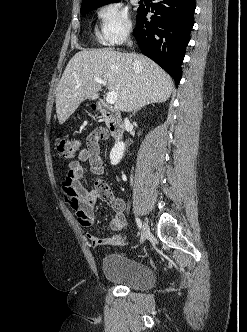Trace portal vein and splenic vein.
Here are the masks:
<instances>
[{"instance_id": "portal-vein-and-splenic-vein-1", "label": "portal vein and splenic vein", "mask_w": 247, "mask_h": 332, "mask_svg": "<svg viewBox=\"0 0 247 332\" xmlns=\"http://www.w3.org/2000/svg\"><path fill=\"white\" fill-rule=\"evenodd\" d=\"M94 81L103 85V86H106L107 83L106 81L102 80L101 78H94ZM82 86V84H78V87ZM117 100V94L114 92V91H111L107 94V97H106V102L109 103V104H114Z\"/></svg>"}]
</instances>
